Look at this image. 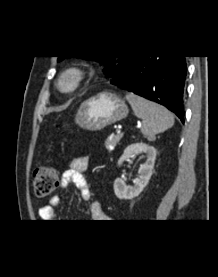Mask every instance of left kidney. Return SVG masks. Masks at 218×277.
I'll use <instances>...</instances> for the list:
<instances>
[{"label": "left kidney", "mask_w": 218, "mask_h": 277, "mask_svg": "<svg viewBox=\"0 0 218 277\" xmlns=\"http://www.w3.org/2000/svg\"><path fill=\"white\" fill-rule=\"evenodd\" d=\"M143 152L146 154V161L140 165L139 177L134 181L133 186L126 185L122 178H117L114 181V192L119 199H133L137 197L143 189L147 186L155 164L156 149L143 142L129 145L118 160V166L123 164L124 160H128L136 153Z\"/></svg>", "instance_id": "left-kidney-1"}]
</instances>
